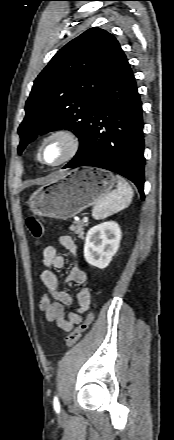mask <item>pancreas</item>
<instances>
[{
  "mask_svg": "<svg viewBox=\"0 0 174 440\" xmlns=\"http://www.w3.org/2000/svg\"><path fill=\"white\" fill-rule=\"evenodd\" d=\"M87 225V223H84L82 221L74 222L73 225L70 227V230L78 235L80 239H84V229Z\"/></svg>",
  "mask_w": 174,
  "mask_h": 440,
  "instance_id": "1",
  "label": "pancreas"
}]
</instances>
